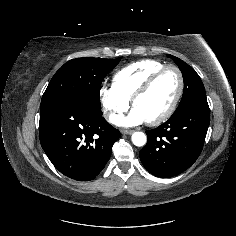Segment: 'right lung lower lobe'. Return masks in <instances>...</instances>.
<instances>
[{"label":"right lung lower lobe","instance_id":"98d812e1","mask_svg":"<svg viewBox=\"0 0 236 236\" xmlns=\"http://www.w3.org/2000/svg\"><path fill=\"white\" fill-rule=\"evenodd\" d=\"M39 137L58 171L78 181H90L110 159L120 132L102 117L101 110L60 99L41 108Z\"/></svg>","mask_w":236,"mask_h":236}]
</instances>
